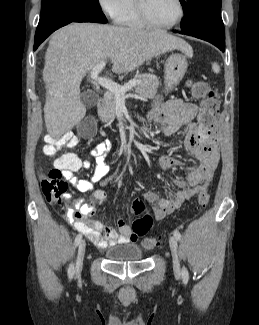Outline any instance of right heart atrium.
I'll use <instances>...</instances> for the list:
<instances>
[{
	"label": "right heart atrium",
	"instance_id": "right-heart-atrium-1",
	"mask_svg": "<svg viewBox=\"0 0 259 325\" xmlns=\"http://www.w3.org/2000/svg\"><path fill=\"white\" fill-rule=\"evenodd\" d=\"M131 0H98L100 9L111 19L117 20Z\"/></svg>",
	"mask_w": 259,
	"mask_h": 325
}]
</instances>
